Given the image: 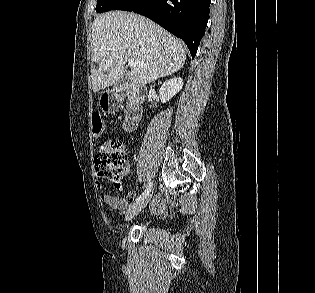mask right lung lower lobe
I'll list each match as a JSON object with an SVG mask.
<instances>
[{"instance_id":"1","label":"right lung lower lobe","mask_w":315,"mask_h":293,"mask_svg":"<svg viewBox=\"0 0 315 293\" xmlns=\"http://www.w3.org/2000/svg\"><path fill=\"white\" fill-rule=\"evenodd\" d=\"M211 0H120L111 10L144 15L181 38L195 57L209 16Z\"/></svg>"}]
</instances>
